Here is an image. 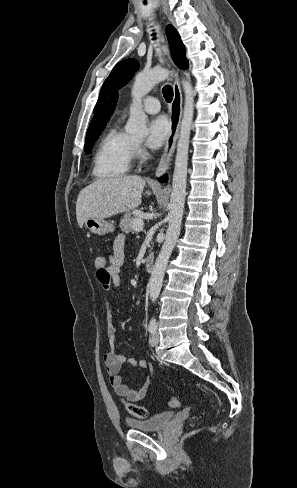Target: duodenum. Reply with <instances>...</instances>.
<instances>
[{
    "instance_id": "obj_1",
    "label": "duodenum",
    "mask_w": 297,
    "mask_h": 488,
    "mask_svg": "<svg viewBox=\"0 0 297 488\" xmlns=\"http://www.w3.org/2000/svg\"><path fill=\"white\" fill-rule=\"evenodd\" d=\"M154 263V255L152 253H149L145 259V265L147 270L151 269Z\"/></svg>"
}]
</instances>
